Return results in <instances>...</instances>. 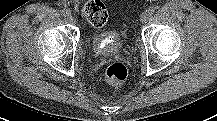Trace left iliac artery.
Here are the masks:
<instances>
[{
	"label": "left iliac artery",
	"mask_w": 217,
	"mask_h": 121,
	"mask_svg": "<svg viewBox=\"0 0 217 121\" xmlns=\"http://www.w3.org/2000/svg\"><path fill=\"white\" fill-rule=\"evenodd\" d=\"M155 10H156V7H149L148 9H147V11H148V13L150 14V15H152V14H154L155 13Z\"/></svg>",
	"instance_id": "left-iliac-artery-1"
}]
</instances>
